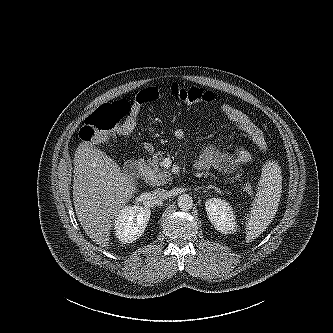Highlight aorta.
<instances>
[{
	"label": "aorta",
	"mask_w": 333,
	"mask_h": 333,
	"mask_svg": "<svg viewBox=\"0 0 333 333\" xmlns=\"http://www.w3.org/2000/svg\"><path fill=\"white\" fill-rule=\"evenodd\" d=\"M178 207L182 211L190 210L193 206V199L189 194H181L178 197Z\"/></svg>",
	"instance_id": "obj_1"
}]
</instances>
